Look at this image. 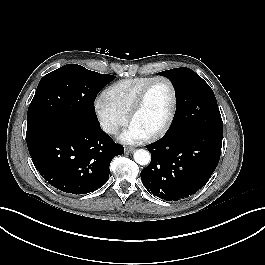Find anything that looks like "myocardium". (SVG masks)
I'll return each mask as SVG.
<instances>
[{"label": "myocardium", "mask_w": 265, "mask_h": 265, "mask_svg": "<svg viewBox=\"0 0 265 265\" xmlns=\"http://www.w3.org/2000/svg\"><path fill=\"white\" fill-rule=\"evenodd\" d=\"M158 81H164L166 83H168L170 89H171V94H172V103H171V108L168 114V117L166 119V121L164 122V124L157 129L156 131H154L153 133L149 134L146 136V138L148 140H156L161 138L162 136H164L168 130L170 129L175 115H176V111H177V104H178V96H177V89L175 87V84L173 83V81L166 77V76H156L153 77L139 92V94L137 95L135 101L133 102L130 111L128 113V122L131 124L133 118L135 117V115L140 111V109L142 108L146 96L149 92V90L151 89V87Z\"/></svg>", "instance_id": "1"}]
</instances>
